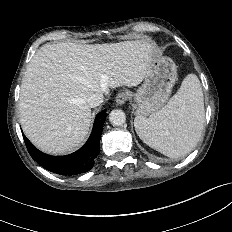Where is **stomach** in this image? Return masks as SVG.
I'll use <instances>...</instances> for the list:
<instances>
[{
  "instance_id": "obj_1",
  "label": "stomach",
  "mask_w": 232,
  "mask_h": 232,
  "mask_svg": "<svg viewBox=\"0 0 232 232\" xmlns=\"http://www.w3.org/2000/svg\"><path fill=\"white\" fill-rule=\"evenodd\" d=\"M177 80V66L166 56L153 57L143 84L133 94L136 114L147 116L158 111L168 100Z\"/></svg>"
}]
</instances>
